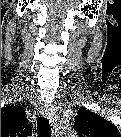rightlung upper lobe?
Wrapping results in <instances>:
<instances>
[{"label":"right lung upper lobe","instance_id":"right-lung-upper-lobe-1","mask_svg":"<svg viewBox=\"0 0 121 137\" xmlns=\"http://www.w3.org/2000/svg\"><path fill=\"white\" fill-rule=\"evenodd\" d=\"M29 132L24 109L16 105L1 108V135H27Z\"/></svg>","mask_w":121,"mask_h":137}]
</instances>
